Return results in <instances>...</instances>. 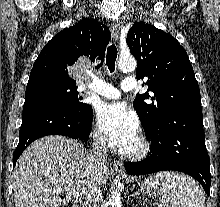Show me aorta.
<instances>
[{"instance_id": "aorta-1", "label": "aorta", "mask_w": 220, "mask_h": 207, "mask_svg": "<svg viewBox=\"0 0 220 207\" xmlns=\"http://www.w3.org/2000/svg\"><path fill=\"white\" fill-rule=\"evenodd\" d=\"M137 62L133 57H121L118 60V69L121 71H135ZM122 184L119 182L116 188L111 192V207H122L121 202Z\"/></svg>"}]
</instances>
